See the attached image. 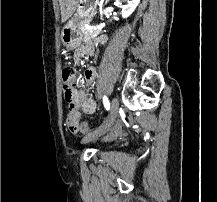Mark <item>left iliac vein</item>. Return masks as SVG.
I'll list each match as a JSON object with an SVG mask.
<instances>
[{"label": "left iliac vein", "mask_w": 217, "mask_h": 202, "mask_svg": "<svg viewBox=\"0 0 217 202\" xmlns=\"http://www.w3.org/2000/svg\"><path fill=\"white\" fill-rule=\"evenodd\" d=\"M119 111V101L113 98L110 102V114L105 124L98 130L89 133L83 137V142H89L103 136L113 126Z\"/></svg>", "instance_id": "left-iliac-vein-1"}]
</instances>
